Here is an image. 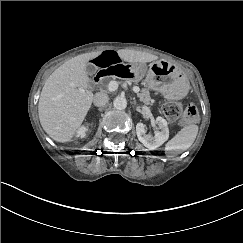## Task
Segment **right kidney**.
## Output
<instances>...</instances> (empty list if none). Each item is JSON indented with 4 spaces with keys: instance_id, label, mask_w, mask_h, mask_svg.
<instances>
[{
    "instance_id": "obj_1",
    "label": "right kidney",
    "mask_w": 243,
    "mask_h": 243,
    "mask_svg": "<svg viewBox=\"0 0 243 243\" xmlns=\"http://www.w3.org/2000/svg\"><path fill=\"white\" fill-rule=\"evenodd\" d=\"M80 133H81V134L84 133V130H81Z\"/></svg>"
}]
</instances>
